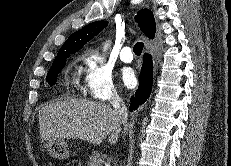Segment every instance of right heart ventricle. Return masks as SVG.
Here are the masks:
<instances>
[{
    "label": "right heart ventricle",
    "mask_w": 231,
    "mask_h": 166,
    "mask_svg": "<svg viewBox=\"0 0 231 166\" xmlns=\"http://www.w3.org/2000/svg\"><path fill=\"white\" fill-rule=\"evenodd\" d=\"M77 81H78V79H77V77L75 76V78H74V83L77 84Z\"/></svg>",
    "instance_id": "1"
}]
</instances>
